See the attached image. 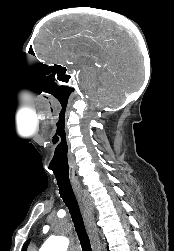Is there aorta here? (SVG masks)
Returning a JSON list of instances; mask_svg holds the SVG:
<instances>
[{"label":"aorta","mask_w":174,"mask_h":251,"mask_svg":"<svg viewBox=\"0 0 174 251\" xmlns=\"http://www.w3.org/2000/svg\"><path fill=\"white\" fill-rule=\"evenodd\" d=\"M69 241L64 237H51L40 248L39 251H66Z\"/></svg>","instance_id":"1"}]
</instances>
